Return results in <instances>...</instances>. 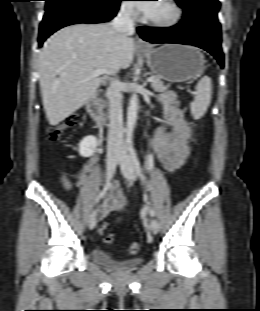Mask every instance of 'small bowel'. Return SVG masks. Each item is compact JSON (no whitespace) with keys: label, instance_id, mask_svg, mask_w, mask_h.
Instances as JSON below:
<instances>
[{"label":"small bowel","instance_id":"1","mask_svg":"<svg viewBox=\"0 0 260 311\" xmlns=\"http://www.w3.org/2000/svg\"><path fill=\"white\" fill-rule=\"evenodd\" d=\"M160 102L163 106V120L158 127L152 144L157 157L167 172H174L184 164L188 157V141L192 130L187 123L173 92L164 93ZM85 181L84 174L79 182ZM62 186L69 190L71 181L66 174L60 176ZM126 206L125 196L120 190L119 182H113L109 193L101 207V216L105 217L110 212H120Z\"/></svg>","mask_w":260,"mask_h":311}]
</instances>
